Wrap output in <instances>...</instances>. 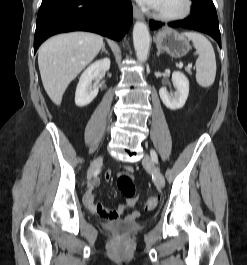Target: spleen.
Instances as JSON below:
<instances>
[{
	"label": "spleen",
	"mask_w": 247,
	"mask_h": 265,
	"mask_svg": "<svg viewBox=\"0 0 247 265\" xmlns=\"http://www.w3.org/2000/svg\"><path fill=\"white\" fill-rule=\"evenodd\" d=\"M182 36L192 41L195 54L198 55L196 60V81L201 87H210L216 76V59L214 49L210 41L200 33L184 32Z\"/></svg>",
	"instance_id": "1"
}]
</instances>
